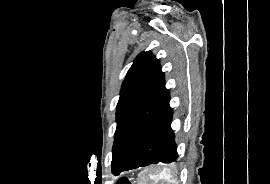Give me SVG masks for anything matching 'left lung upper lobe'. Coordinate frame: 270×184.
Masks as SVG:
<instances>
[{"instance_id": "1", "label": "left lung upper lobe", "mask_w": 270, "mask_h": 184, "mask_svg": "<svg viewBox=\"0 0 270 184\" xmlns=\"http://www.w3.org/2000/svg\"><path fill=\"white\" fill-rule=\"evenodd\" d=\"M168 94L159 60L150 51L140 53L126 75L117 104L113 173Z\"/></svg>"}]
</instances>
